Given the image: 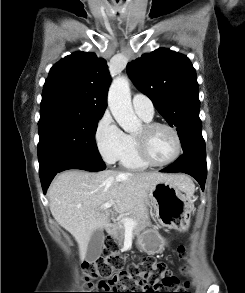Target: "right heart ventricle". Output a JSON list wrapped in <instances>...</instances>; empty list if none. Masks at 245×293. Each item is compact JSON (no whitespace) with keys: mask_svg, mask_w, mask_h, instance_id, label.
<instances>
[{"mask_svg":"<svg viewBox=\"0 0 245 293\" xmlns=\"http://www.w3.org/2000/svg\"><path fill=\"white\" fill-rule=\"evenodd\" d=\"M141 117V116H140ZM145 122H150L151 119L141 117ZM121 165L128 170H144L149 167L138 156L136 143L133 136H129V146L123 156L120 158Z\"/></svg>","mask_w":245,"mask_h":293,"instance_id":"obj_1","label":"right heart ventricle"}]
</instances>
